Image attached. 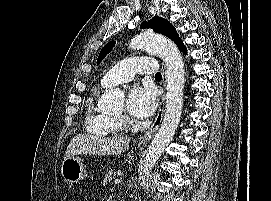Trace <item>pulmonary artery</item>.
I'll use <instances>...</instances> for the list:
<instances>
[{
  "label": "pulmonary artery",
  "mask_w": 271,
  "mask_h": 201,
  "mask_svg": "<svg viewBox=\"0 0 271 201\" xmlns=\"http://www.w3.org/2000/svg\"><path fill=\"white\" fill-rule=\"evenodd\" d=\"M158 65L152 57H133L119 62L110 69L102 78V85L112 86L128 82L136 74H154L157 72Z\"/></svg>",
  "instance_id": "pulmonary-artery-1"
}]
</instances>
